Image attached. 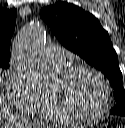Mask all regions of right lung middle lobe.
Listing matches in <instances>:
<instances>
[{
  "label": "right lung middle lobe",
  "instance_id": "right-lung-middle-lobe-1",
  "mask_svg": "<svg viewBox=\"0 0 125 128\" xmlns=\"http://www.w3.org/2000/svg\"><path fill=\"white\" fill-rule=\"evenodd\" d=\"M0 68H3V69L9 68V60L0 61Z\"/></svg>",
  "mask_w": 125,
  "mask_h": 128
}]
</instances>
